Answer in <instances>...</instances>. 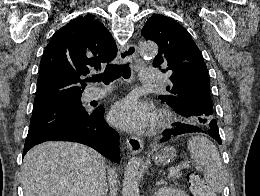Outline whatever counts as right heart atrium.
Instances as JSON below:
<instances>
[{
	"mask_svg": "<svg viewBox=\"0 0 260 196\" xmlns=\"http://www.w3.org/2000/svg\"><path fill=\"white\" fill-rule=\"evenodd\" d=\"M112 163H119V162H112ZM128 163H135V162H128Z\"/></svg>",
	"mask_w": 260,
	"mask_h": 196,
	"instance_id": "right-heart-atrium-1",
	"label": "right heart atrium"
}]
</instances>
